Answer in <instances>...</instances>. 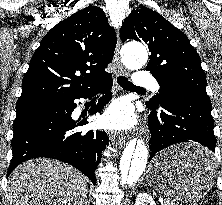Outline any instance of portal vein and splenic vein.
<instances>
[{
  "label": "portal vein and splenic vein",
  "mask_w": 222,
  "mask_h": 205,
  "mask_svg": "<svg viewBox=\"0 0 222 205\" xmlns=\"http://www.w3.org/2000/svg\"><path fill=\"white\" fill-rule=\"evenodd\" d=\"M168 199H166V200H163V198H159V201L161 202V203H163V202H165V201H167Z\"/></svg>",
  "instance_id": "1"
}]
</instances>
